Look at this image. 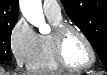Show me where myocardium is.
Instances as JSON below:
<instances>
[{
    "mask_svg": "<svg viewBox=\"0 0 107 75\" xmlns=\"http://www.w3.org/2000/svg\"><path fill=\"white\" fill-rule=\"evenodd\" d=\"M69 31L76 32L86 44L90 53V61L87 64L82 66H73L66 61L63 53V40L65 35ZM52 46H53L54 59L60 68L69 71L80 72L90 69L96 62V51L94 49L93 44L91 43L87 35L75 25L62 23L59 26L55 27L52 33Z\"/></svg>",
    "mask_w": 107,
    "mask_h": 75,
    "instance_id": "f54148a6",
    "label": "myocardium"
}]
</instances>
